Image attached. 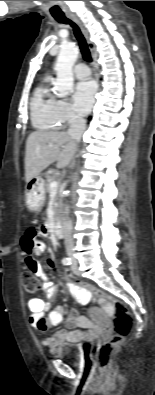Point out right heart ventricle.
<instances>
[{
    "mask_svg": "<svg viewBox=\"0 0 155 395\" xmlns=\"http://www.w3.org/2000/svg\"><path fill=\"white\" fill-rule=\"evenodd\" d=\"M49 81L48 76L41 80L36 86L30 102L31 121L33 126L39 130L60 128L56 117L57 99L50 89Z\"/></svg>",
    "mask_w": 155,
    "mask_h": 395,
    "instance_id": "right-heart-ventricle-1",
    "label": "right heart ventricle"
}]
</instances>
